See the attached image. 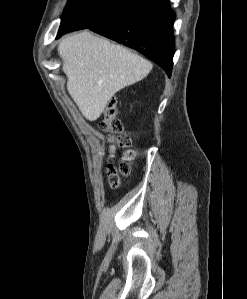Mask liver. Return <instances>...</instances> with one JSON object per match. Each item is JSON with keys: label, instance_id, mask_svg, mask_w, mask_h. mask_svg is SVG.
<instances>
[{"label": "liver", "instance_id": "obj_1", "mask_svg": "<svg viewBox=\"0 0 247 299\" xmlns=\"http://www.w3.org/2000/svg\"><path fill=\"white\" fill-rule=\"evenodd\" d=\"M67 90L89 121L97 120L121 89L145 78L152 64L125 47L83 31L58 45Z\"/></svg>", "mask_w": 247, "mask_h": 299}]
</instances>
